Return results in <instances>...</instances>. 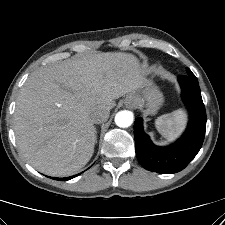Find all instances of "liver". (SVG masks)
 <instances>
[{
	"instance_id": "1",
	"label": "liver",
	"mask_w": 225,
	"mask_h": 225,
	"mask_svg": "<svg viewBox=\"0 0 225 225\" xmlns=\"http://www.w3.org/2000/svg\"><path fill=\"white\" fill-rule=\"evenodd\" d=\"M149 85L138 59L106 52L44 66L20 89L14 113L18 147L27 162L49 176H70L91 159L92 113Z\"/></svg>"
}]
</instances>
